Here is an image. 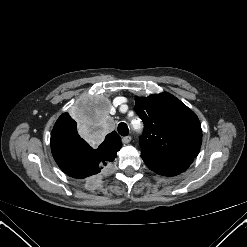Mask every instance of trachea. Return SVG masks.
I'll return each mask as SVG.
<instances>
[{
	"instance_id": "trachea-1",
	"label": "trachea",
	"mask_w": 247,
	"mask_h": 247,
	"mask_svg": "<svg viewBox=\"0 0 247 247\" xmlns=\"http://www.w3.org/2000/svg\"><path fill=\"white\" fill-rule=\"evenodd\" d=\"M117 129H118V133L121 136H127L129 133V128H128L127 124L124 122L119 123Z\"/></svg>"
}]
</instances>
